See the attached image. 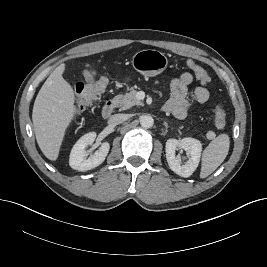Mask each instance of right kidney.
I'll list each match as a JSON object with an SVG mask.
<instances>
[{
  "instance_id": "1",
  "label": "right kidney",
  "mask_w": 267,
  "mask_h": 267,
  "mask_svg": "<svg viewBox=\"0 0 267 267\" xmlns=\"http://www.w3.org/2000/svg\"><path fill=\"white\" fill-rule=\"evenodd\" d=\"M95 138L96 133L90 132L82 136L76 142L71 150L69 158V165L71 168L78 171H87L99 166L105 160L110 149V144L108 142H103L99 150L95 152L94 155L87 158L85 148L93 144Z\"/></svg>"
}]
</instances>
